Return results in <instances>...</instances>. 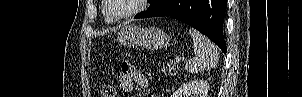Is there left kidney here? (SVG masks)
I'll return each mask as SVG.
<instances>
[{
	"label": "left kidney",
	"mask_w": 302,
	"mask_h": 97,
	"mask_svg": "<svg viewBox=\"0 0 302 97\" xmlns=\"http://www.w3.org/2000/svg\"><path fill=\"white\" fill-rule=\"evenodd\" d=\"M209 83L204 80L189 81L181 85L172 97H207Z\"/></svg>",
	"instance_id": "left-kidney-1"
}]
</instances>
